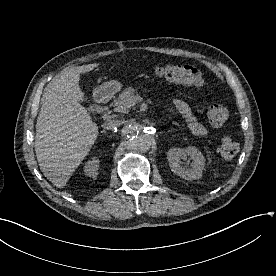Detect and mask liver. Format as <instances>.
I'll use <instances>...</instances> for the list:
<instances>
[{
	"instance_id": "liver-1",
	"label": "liver",
	"mask_w": 276,
	"mask_h": 276,
	"mask_svg": "<svg viewBox=\"0 0 276 276\" xmlns=\"http://www.w3.org/2000/svg\"><path fill=\"white\" fill-rule=\"evenodd\" d=\"M99 64L67 68L53 79L42 96L36 122L35 152L44 176L58 188L88 155L98 137V126L79 103L85 101L79 80Z\"/></svg>"
}]
</instances>
